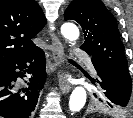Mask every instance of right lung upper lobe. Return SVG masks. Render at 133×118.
<instances>
[{
	"instance_id": "1",
	"label": "right lung upper lobe",
	"mask_w": 133,
	"mask_h": 118,
	"mask_svg": "<svg viewBox=\"0 0 133 118\" xmlns=\"http://www.w3.org/2000/svg\"><path fill=\"white\" fill-rule=\"evenodd\" d=\"M46 24L35 0L0 1V67L38 47L32 38Z\"/></svg>"
}]
</instances>
